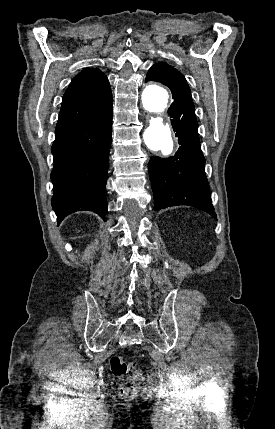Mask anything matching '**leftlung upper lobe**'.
<instances>
[{
  "mask_svg": "<svg viewBox=\"0 0 275 429\" xmlns=\"http://www.w3.org/2000/svg\"><path fill=\"white\" fill-rule=\"evenodd\" d=\"M151 68H164V69L172 70V71H175V72H179L174 67H172V66H170V65H168L166 63H163V62L162 63H157V64L153 65Z\"/></svg>",
  "mask_w": 275,
  "mask_h": 429,
  "instance_id": "obj_1",
  "label": "left lung upper lobe"
}]
</instances>
